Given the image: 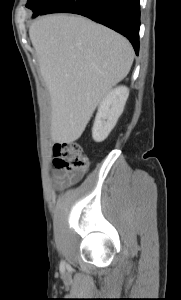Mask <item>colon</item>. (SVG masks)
Segmentation results:
<instances>
[{
	"label": "colon",
	"instance_id": "colon-1",
	"mask_svg": "<svg viewBox=\"0 0 181 300\" xmlns=\"http://www.w3.org/2000/svg\"><path fill=\"white\" fill-rule=\"evenodd\" d=\"M54 165L58 169L78 177L88 170L89 159L83 148L76 142H58L52 149Z\"/></svg>",
	"mask_w": 181,
	"mask_h": 300
}]
</instances>
